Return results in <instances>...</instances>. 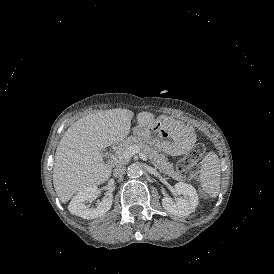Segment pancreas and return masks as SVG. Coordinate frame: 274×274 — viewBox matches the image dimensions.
I'll use <instances>...</instances> for the list:
<instances>
[{"label":"pancreas","instance_id":"obj_1","mask_svg":"<svg viewBox=\"0 0 274 274\" xmlns=\"http://www.w3.org/2000/svg\"><path fill=\"white\" fill-rule=\"evenodd\" d=\"M136 145L139 148V152L146 155L149 158L150 163L157 168L161 173L170 176L172 179L177 181H185L186 177L181 176L173 168V164L169 162L168 158L164 154H160L157 149L148 145L142 137H128L126 140L120 143L117 148L116 154L123 153L128 146ZM129 159H117V165L128 164Z\"/></svg>","mask_w":274,"mask_h":274}]
</instances>
